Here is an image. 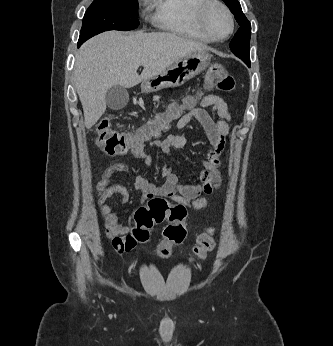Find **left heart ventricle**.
<instances>
[{
	"instance_id": "b2bd125f",
	"label": "left heart ventricle",
	"mask_w": 333,
	"mask_h": 346,
	"mask_svg": "<svg viewBox=\"0 0 333 346\" xmlns=\"http://www.w3.org/2000/svg\"><path fill=\"white\" fill-rule=\"evenodd\" d=\"M207 24L211 32L217 36H224L230 28L226 14L218 7H213L207 16Z\"/></svg>"
}]
</instances>
